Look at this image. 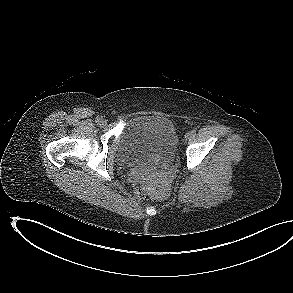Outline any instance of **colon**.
Masks as SVG:
<instances>
[{
  "instance_id": "colon-1",
  "label": "colon",
  "mask_w": 293,
  "mask_h": 293,
  "mask_svg": "<svg viewBox=\"0 0 293 293\" xmlns=\"http://www.w3.org/2000/svg\"><path fill=\"white\" fill-rule=\"evenodd\" d=\"M133 186L134 192L138 198L145 197V195L152 190L150 180L143 175L135 177Z\"/></svg>"
}]
</instances>
